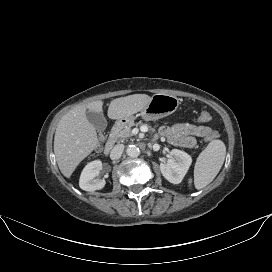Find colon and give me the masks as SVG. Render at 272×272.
Segmentation results:
<instances>
[{
    "label": "colon",
    "mask_w": 272,
    "mask_h": 272,
    "mask_svg": "<svg viewBox=\"0 0 272 272\" xmlns=\"http://www.w3.org/2000/svg\"><path fill=\"white\" fill-rule=\"evenodd\" d=\"M210 119H211L210 114L208 112H205V111L201 112L199 117H198V120L201 123H207V122L210 121ZM216 137H217V134L215 132H210L206 136V140L209 141V140L215 139ZM99 138H100V141L102 142L105 139V135L101 134Z\"/></svg>",
    "instance_id": "5ec220e1"
}]
</instances>
